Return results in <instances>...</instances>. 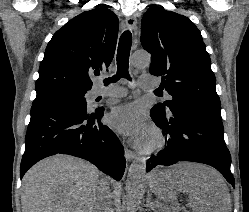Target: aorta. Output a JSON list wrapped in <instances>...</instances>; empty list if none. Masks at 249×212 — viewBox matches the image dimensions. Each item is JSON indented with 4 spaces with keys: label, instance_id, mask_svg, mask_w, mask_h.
Listing matches in <instances>:
<instances>
[{
    "label": "aorta",
    "instance_id": "aorta-1",
    "mask_svg": "<svg viewBox=\"0 0 249 212\" xmlns=\"http://www.w3.org/2000/svg\"><path fill=\"white\" fill-rule=\"evenodd\" d=\"M151 58L146 52L137 51L131 56L130 63L137 68L150 65ZM145 161L142 157H136L131 164L126 182V209L127 212H136L142 198L143 185L145 180Z\"/></svg>",
    "mask_w": 249,
    "mask_h": 212
}]
</instances>
